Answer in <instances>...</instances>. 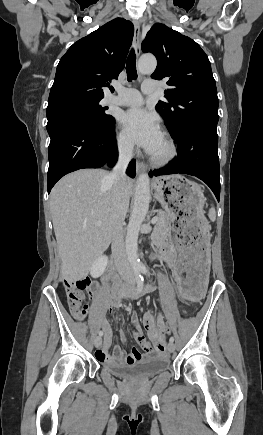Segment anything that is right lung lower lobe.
Returning <instances> with one entry per match:
<instances>
[{"label": "right lung lower lobe", "mask_w": 263, "mask_h": 435, "mask_svg": "<svg viewBox=\"0 0 263 435\" xmlns=\"http://www.w3.org/2000/svg\"><path fill=\"white\" fill-rule=\"evenodd\" d=\"M48 133L51 139L48 148V193L67 173L104 165L112 167L117 161L114 123L107 128H98L82 121H63L54 124ZM127 174L135 177V160L129 163Z\"/></svg>", "instance_id": "1"}]
</instances>
